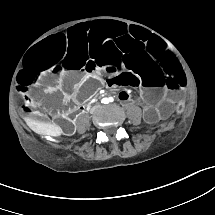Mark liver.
Wrapping results in <instances>:
<instances>
[{
    "mask_svg": "<svg viewBox=\"0 0 215 215\" xmlns=\"http://www.w3.org/2000/svg\"><path fill=\"white\" fill-rule=\"evenodd\" d=\"M25 121L27 125L38 134L57 137L63 133L61 127L56 124L43 123L29 118H25Z\"/></svg>",
    "mask_w": 215,
    "mask_h": 215,
    "instance_id": "1",
    "label": "liver"
}]
</instances>
